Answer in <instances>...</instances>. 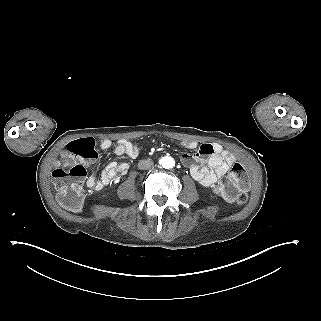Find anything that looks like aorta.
<instances>
[{"mask_svg": "<svg viewBox=\"0 0 321 321\" xmlns=\"http://www.w3.org/2000/svg\"><path fill=\"white\" fill-rule=\"evenodd\" d=\"M164 168L170 169L175 165V161L172 157H164L162 158L161 162Z\"/></svg>", "mask_w": 321, "mask_h": 321, "instance_id": "aorta-1", "label": "aorta"}]
</instances>
